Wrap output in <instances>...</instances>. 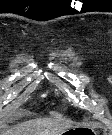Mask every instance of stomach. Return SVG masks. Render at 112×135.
<instances>
[{"instance_id": "0dacf381", "label": "stomach", "mask_w": 112, "mask_h": 135, "mask_svg": "<svg viewBox=\"0 0 112 135\" xmlns=\"http://www.w3.org/2000/svg\"><path fill=\"white\" fill-rule=\"evenodd\" d=\"M62 134L64 135H85V134H94V132L90 129L86 128H71L69 130H66Z\"/></svg>"}]
</instances>
